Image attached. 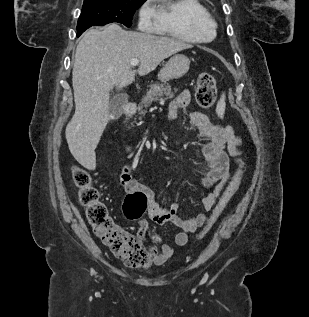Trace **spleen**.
Listing matches in <instances>:
<instances>
[{
	"mask_svg": "<svg viewBox=\"0 0 309 317\" xmlns=\"http://www.w3.org/2000/svg\"><path fill=\"white\" fill-rule=\"evenodd\" d=\"M225 99H226V96L223 93L221 95L220 100L217 103V106H216V113H217L218 117H220V118H223L224 113H225V108H226Z\"/></svg>",
	"mask_w": 309,
	"mask_h": 317,
	"instance_id": "obj_1",
	"label": "spleen"
}]
</instances>
